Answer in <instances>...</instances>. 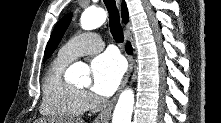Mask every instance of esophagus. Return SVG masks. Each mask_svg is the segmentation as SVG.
<instances>
[{"label": "esophagus", "instance_id": "34e87169", "mask_svg": "<svg viewBox=\"0 0 221 123\" xmlns=\"http://www.w3.org/2000/svg\"><path fill=\"white\" fill-rule=\"evenodd\" d=\"M118 5H120V1L117 0ZM127 60H128V68L127 71L123 77V80L121 82V85L119 87L118 92L116 93V95L111 99L110 103L108 104V106L97 116V118L94 120L93 123H108L112 110L116 104L117 98L120 94V92L122 91V89L125 87V85L127 84L129 77L131 75L132 69H133V65H134V60L133 57L131 55H127Z\"/></svg>", "mask_w": 221, "mask_h": 123}]
</instances>
